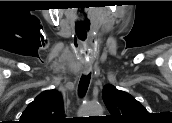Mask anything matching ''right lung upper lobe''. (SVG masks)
<instances>
[{
  "label": "right lung upper lobe",
  "instance_id": "1",
  "mask_svg": "<svg viewBox=\"0 0 172 123\" xmlns=\"http://www.w3.org/2000/svg\"><path fill=\"white\" fill-rule=\"evenodd\" d=\"M64 120L62 97L55 89L39 94L20 117L22 123H62Z\"/></svg>",
  "mask_w": 172,
  "mask_h": 123
}]
</instances>
